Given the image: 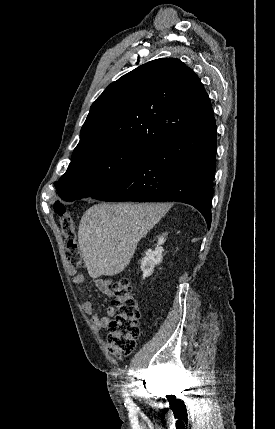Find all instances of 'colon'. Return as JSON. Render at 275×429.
Segmentation results:
<instances>
[{
  "mask_svg": "<svg viewBox=\"0 0 275 429\" xmlns=\"http://www.w3.org/2000/svg\"><path fill=\"white\" fill-rule=\"evenodd\" d=\"M54 211L59 218L62 234L66 241V257L72 267L82 265V256L76 236V223L72 214L62 203H55ZM112 294L115 299L116 317L109 324V334L106 346L111 354L117 358L130 355L140 336L138 321L140 312L130 281L119 278L112 285Z\"/></svg>",
  "mask_w": 275,
  "mask_h": 429,
  "instance_id": "1",
  "label": "colon"
}]
</instances>
